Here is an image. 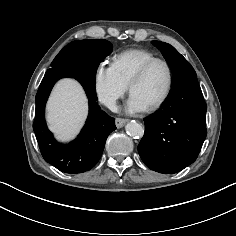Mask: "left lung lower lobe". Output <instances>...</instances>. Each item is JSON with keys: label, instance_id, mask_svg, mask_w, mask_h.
<instances>
[{"label": "left lung lower lobe", "instance_id": "1", "mask_svg": "<svg viewBox=\"0 0 236 236\" xmlns=\"http://www.w3.org/2000/svg\"><path fill=\"white\" fill-rule=\"evenodd\" d=\"M206 110L196 76L173 85L161 108L144 119L138 152L146 166L172 174L192 164L207 135Z\"/></svg>", "mask_w": 236, "mask_h": 236}]
</instances>
